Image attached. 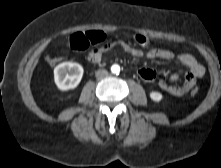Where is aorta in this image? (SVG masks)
<instances>
[{
	"label": "aorta",
	"instance_id": "762f6f07",
	"mask_svg": "<svg viewBox=\"0 0 221 168\" xmlns=\"http://www.w3.org/2000/svg\"><path fill=\"white\" fill-rule=\"evenodd\" d=\"M111 72L114 74H119L120 72V66L118 64H114L111 67Z\"/></svg>",
	"mask_w": 221,
	"mask_h": 168
}]
</instances>
